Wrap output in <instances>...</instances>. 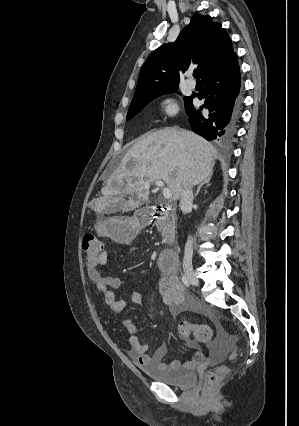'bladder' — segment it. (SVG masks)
<instances>
[{
    "instance_id": "1",
    "label": "bladder",
    "mask_w": 299,
    "mask_h": 426,
    "mask_svg": "<svg viewBox=\"0 0 299 426\" xmlns=\"http://www.w3.org/2000/svg\"><path fill=\"white\" fill-rule=\"evenodd\" d=\"M140 369L148 377L179 388H188L197 381V373L194 370L182 368L160 369L152 365L140 364Z\"/></svg>"
}]
</instances>
